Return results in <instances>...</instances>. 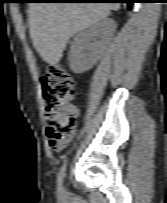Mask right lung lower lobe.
<instances>
[{"label": "right lung lower lobe", "mask_w": 167, "mask_h": 203, "mask_svg": "<svg viewBox=\"0 0 167 203\" xmlns=\"http://www.w3.org/2000/svg\"><path fill=\"white\" fill-rule=\"evenodd\" d=\"M87 1H117L116 3H127L128 7L131 8L135 0H87Z\"/></svg>", "instance_id": "1"}]
</instances>
